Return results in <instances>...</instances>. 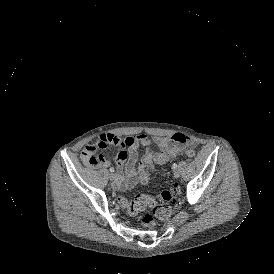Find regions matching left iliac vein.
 <instances>
[{"instance_id":"1","label":"left iliac vein","mask_w":274,"mask_h":274,"mask_svg":"<svg viewBox=\"0 0 274 274\" xmlns=\"http://www.w3.org/2000/svg\"><path fill=\"white\" fill-rule=\"evenodd\" d=\"M173 175H174L175 178H179L180 177V172L178 170H175L173 172Z\"/></svg>"}]
</instances>
